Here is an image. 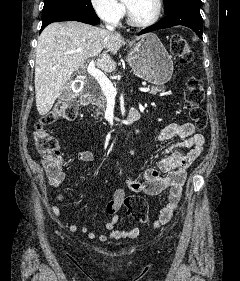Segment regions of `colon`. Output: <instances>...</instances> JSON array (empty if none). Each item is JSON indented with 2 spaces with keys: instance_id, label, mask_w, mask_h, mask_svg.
Returning <instances> with one entry per match:
<instances>
[{
  "instance_id": "5ec220e1",
  "label": "colon",
  "mask_w": 240,
  "mask_h": 281,
  "mask_svg": "<svg viewBox=\"0 0 240 281\" xmlns=\"http://www.w3.org/2000/svg\"><path fill=\"white\" fill-rule=\"evenodd\" d=\"M171 52L183 64L192 62L193 55L188 41L180 34L172 36ZM203 99L204 88L202 81L197 77L190 78L184 87V107L199 130H204L207 126V116L201 107ZM76 114L77 103L74 100L61 101L51 112L43 116L35 126L33 134L35 145L43 157V166L49 175H57L62 166L59 143L50 132L49 126L59 120H73ZM124 204L128 214L134 220L140 223L147 221L148 206L143 198L129 196L124 200Z\"/></svg>"
}]
</instances>
